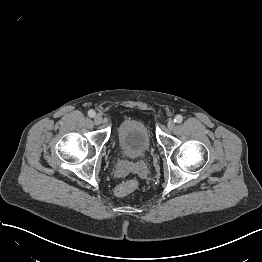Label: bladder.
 I'll list each match as a JSON object with an SVG mask.
<instances>
[{
    "label": "bladder",
    "mask_w": 262,
    "mask_h": 262,
    "mask_svg": "<svg viewBox=\"0 0 262 262\" xmlns=\"http://www.w3.org/2000/svg\"><path fill=\"white\" fill-rule=\"evenodd\" d=\"M118 138L123 152L130 158L146 153L152 146L150 132L139 119H124L119 127Z\"/></svg>",
    "instance_id": "bladder-1"
}]
</instances>
